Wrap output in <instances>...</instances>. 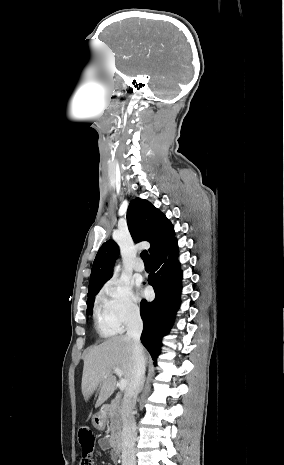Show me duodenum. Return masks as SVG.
I'll return each mask as SVG.
<instances>
[{
    "label": "duodenum",
    "mask_w": 284,
    "mask_h": 465,
    "mask_svg": "<svg viewBox=\"0 0 284 465\" xmlns=\"http://www.w3.org/2000/svg\"><path fill=\"white\" fill-rule=\"evenodd\" d=\"M106 411H107V408H103V409L99 410L98 416H99L101 421H102ZM123 442H124L123 435L120 432H116L114 434V436H113V446H114V448L116 450H121L122 447H123Z\"/></svg>",
    "instance_id": "1"
}]
</instances>
